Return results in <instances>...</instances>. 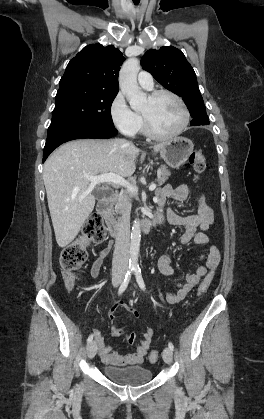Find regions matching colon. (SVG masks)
I'll list each match as a JSON object with an SVG mask.
<instances>
[{
	"label": "colon",
	"instance_id": "colon-1",
	"mask_svg": "<svg viewBox=\"0 0 264 419\" xmlns=\"http://www.w3.org/2000/svg\"><path fill=\"white\" fill-rule=\"evenodd\" d=\"M186 165H190L197 174L202 173L206 168V159L202 152L194 151L188 158ZM106 236L103 219L100 215H92L84 224L81 236L68 244L60 254V265L68 287H73L75 272L85 263L87 259L86 245L89 243H101ZM213 279V271H210L198 289V295H203L209 288ZM149 360L156 362L158 352L152 350L149 353Z\"/></svg>",
	"mask_w": 264,
	"mask_h": 419
}]
</instances>
